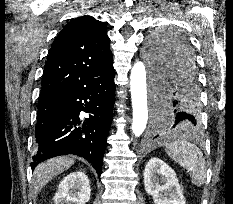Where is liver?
I'll return each mask as SVG.
<instances>
[{
  "mask_svg": "<svg viewBox=\"0 0 233 204\" xmlns=\"http://www.w3.org/2000/svg\"><path fill=\"white\" fill-rule=\"evenodd\" d=\"M74 159L69 156H59L39 164L33 173V198H36L43 187L55 176L69 169Z\"/></svg>",
  "mask_w": 233,
  "mask_h": 204,
  "instance_id": "1",
  "label": "liver"
}]
</instances>
